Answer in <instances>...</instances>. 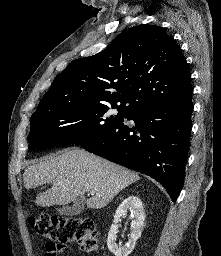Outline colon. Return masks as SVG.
Returning a JSON list of instances; mask_svg holds the SVG:
<instances>
[{
    "mask_svg": "<svg viewBox=\"0 0 221 256\" xmlns=\"http://www.w3.org/2000/svg\"><path fill=\"white\" fill-rule=\"evenodd\" d=\"M28 223L35 233L48 240L46 250L55 256L72 242L85 252H94L99 246V234L88 218H59L42 212L30 216Z\"/></svg>",
    "mask_w": 221,
    "mask_h": 256,
    "instance_id": "1",
    "label": "colon"
}]
</instances>
